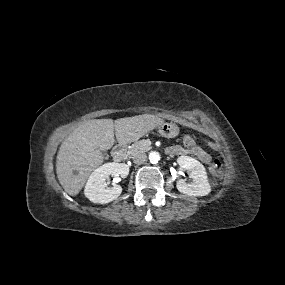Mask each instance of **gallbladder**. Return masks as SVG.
<instances>
[{"instance_id":"bac80fb5","label":"gallbladder","mask_w":285,"mask_h":285,"mask_svg":"<svg viewBox=\"0 0 285 285\" xmlns=\"http://www.w3.org/2000/svg\"><path fill=\"white\" fill-rule=\"evenodd\" d=\"M102 154H103V157H104V158H108V154H107L106 151H102Z\"/></svg>"}]
</instances>
